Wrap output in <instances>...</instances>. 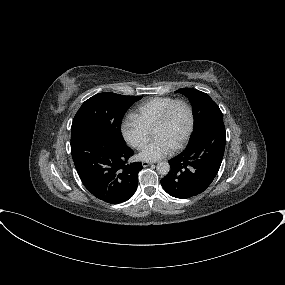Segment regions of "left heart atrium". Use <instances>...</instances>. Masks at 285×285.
Listing matches in <instances>:
<instances>
[{"label": "left heart atrium", "mask_w": 285, "mask_h": 285, "mask_svg": "<svg viewBox=\"0 0 285 285\" xmlns=\"http://www.w3.org/2000/svg\"><path fill=\"white\" fill-rule=\"evenodd\" d=\"M174 150V146L164 137H155L139 154V158L145 161H156Z\"/></svg>", "instance_id": "1"}]
</instances>
